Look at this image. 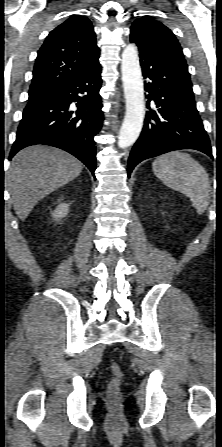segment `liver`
<instances>
[{"label":"liver","mask_w":222,"mask_h":447,"mask_svg":"<svg viewBox=\"0 0 222 447\" xmlns=\"http://www.w3.org/2000/svg\"><path fill=\"white\" fill-rule=\"evenodd\" d=\"M83 164L69 153L48 146H31L12 159L7 174L15 213L25 220L44 197L80 175Z\"/></svg>","instance_id":"1"}]
</instances>
